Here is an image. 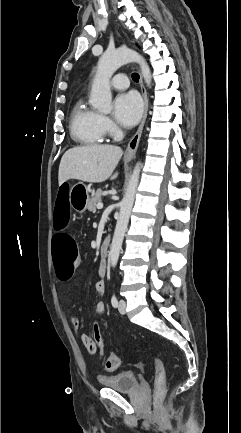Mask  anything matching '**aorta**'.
<instances>
[{
  "mask_svg": "<svg viewBox=\"0 0 241 433\" xmlns=\"http://www.w3.org/2000/svg\"><path fill=\"white\" fill-rule=\"evenodd\" d=\"M137 62L145 83L150 86L152 81L151 71L144 58L137 52L120 48L114 51H106L99 59L97 73L92 83L90 103L100 112L109 113L112 109V94L110 78L114 72L124 64ZM141 163L138 162L131 174L125 195L120 202V214L117 220L114 236L110 246V263L112 267L117 265L120 250L127 230L129 218L135 200L136 190L139 184Z\"/></svg>",
  "mask_w": 241,
  "mask_h": 433,
  "instance_id": "aorta-1",
  "label": "aorta"
}]
</instances>
